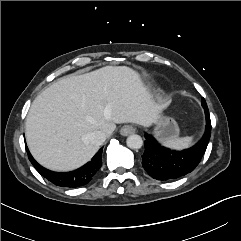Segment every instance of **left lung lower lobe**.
Instances as JSON below:
<instances>
[{
	"label": "left lung lower lobe",
	"instance_id": "left-lung-lower-lobe-1",
	"mask_svg": "<svg viewBox=\"0 0 241 241\" xmlns=\"http://www.w3.org/2000/svg\"><path fill=\"white\" fill-rule=\"evenodd\" d=\"M206 132L203 138L193 147L183 151H173L161 146L149 134H145V152L142 155V166L154 179L166 181L177 179L192 172L199 164L206 151L211 135V121L208 107L204 108Z\"/></svg>",
	"mask_w": 241,
	"mask_h": 241
}]
</instances>
